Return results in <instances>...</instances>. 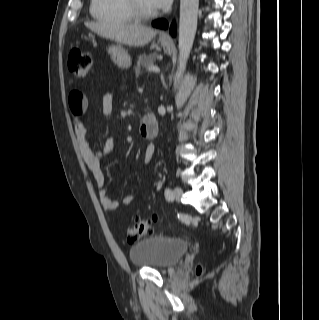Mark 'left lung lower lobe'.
I'll return each mask as SVG.
<instances>
[{"mask_svg": "<svg viewBox=\"0 0 319 320\" xmlns=\"http://www.w3.org/2000/svg\"><path fill=\"white\" fill-rule=\"evenodd\" d=\"M153 26L158 27V28H167V21L166 20H156L152 23ZM175 31V25L173 24L171 26V32L174 34Z\"/></svg>", "mask_w": 319, "mask_h": 320, "instance_id": "left-lung-lower-lobe-1", "label": "left lung lower lobe"}]
</instances>
